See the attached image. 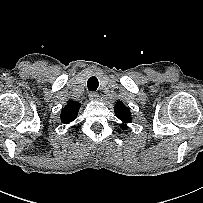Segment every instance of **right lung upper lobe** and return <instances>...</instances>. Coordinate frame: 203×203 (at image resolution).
<instances>
[{
    "mask_svg": "<svg viewBox=\"0 0 203 203\" xmlns=\"http://www.w3.org/2000/svg\"><path fill=\"white\" fill-rule=\"evenodd\" d=\"M80 108V103L69 100L67 105L61 111V121L64 124H69L74 121L77 117L78 111Z\"/></svg>",
    "mask_w": 203,
    "mask_h": 203,
    "instance_id": "obj_1",
    "label": "right lung upper lobe"
}]
</instances>
